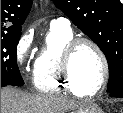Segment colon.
<instances>
[{
	"instance_id": "obj_1",
	"label": "colon",
	"mask_w": 123,
	"mask_h": 113,
	"mask_svg": "<svg viewBox=\"0 0 123 113\" xmlns=\"http://www.w3.org/2000/svg\"><path fill=\"white\" fill-rule=\"evenodd\" d=\"M121 113H123V108L121 109V111H120Z\"/></svg>"
}]
</instances>
